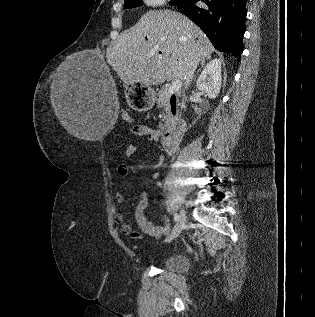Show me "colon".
I'll list each match as a JSON object with an SVG mask.
<instances>
[{"instance_id":"1","label":"colon","mask_w":315,"mask_h":317,"mask_svg":"<svg viewBox=\"0 0 315 317\" xmlns=\"http://www.w3.org/2000/svg\"><path fill=\"white\" fill-rule=\"evenodd\" d=\"M122 118H123V120H125L126 122H129V123L132 122V118H131L127 113H124V114L122 115Z\"/></svg>"}]
</instances>
